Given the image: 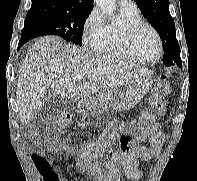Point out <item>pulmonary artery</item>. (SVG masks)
Returning <instances> with one entry per match:
<instances>
[{
    "label": "pulmonary artery",
    "instance_id": "pulmonary-artery-1",
    "mask_svg": "<svg viewBox=\"0 0 197 181\" xmlns=\"http://www.w3.org/2000/svg\"><path fill=\"white\" fill-rule=\"evenodd\" d=\"M119 5L121 8H127V9L136 7L135 3L131 0H120Z\"/></svg>",
    "mask_w": 197,
    "mask_h": 181
}]
</instances>
